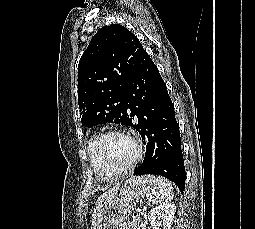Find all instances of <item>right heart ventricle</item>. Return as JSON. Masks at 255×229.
I'll use <instances>...</instances> for the list:
<instances>
[{"label": "right heart ventricle", "mask_w": 255, "mask_h": 229, "mask_svg": "<svg viewBox=\"0 0 255 229\" xmlns=\"http://www.w3.org/2000/svg\"><path fill=\"white\" fill-rule=\"evenodd\" d=\"M99 134L98 133H93L88 140L87 143V157L88 161L94 170V172L100 176L103 179H113L116 176L119 175V173L112 172L111 170L107 169L101 162L100 160L96 157L94 153V145L95 142L98 138Z\"/></svg>", "instance_id": "1"}]
</instances>
